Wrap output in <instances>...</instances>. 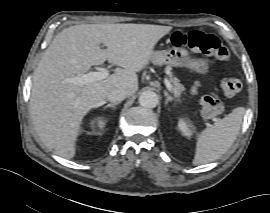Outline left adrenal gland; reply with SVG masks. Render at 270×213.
<instances>
[{
	"instance_id": "left-adrenal-gland-1",
	"label": "left adrenal gland",
	"mask_w": 270,
	"mask_h": 213,
	"mask_svg": "<svg viewBox=\"0 0 270 213\" xmlns=\"http://www.w3.org/2000/svg\"><path fill=\"white\" fill-rule=\"evenodd\" d=\"M164 95L166 97V102H165L166 105L168 104L169 101L174 100V98L171 95H169V93L167 91H164Z\"/></svg>"
}]
</instances>
